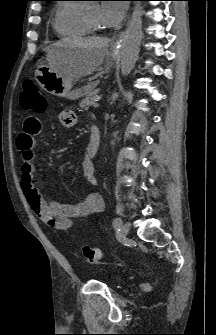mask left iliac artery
<instances>
[{"label":"left iliac artery","mask_w":216,"mask_h":335,"mask_svg":"<svg viewBox=\"0 0 216 335\" xmlns=\"http://www.w3.org/2000/svg\"><path fill=\"white\" fill-rule=\"evenodd\" d=\"M122 225V220L120 218H116L114 221H113V226L114 228H120Z\"/></svg>","instance_id":"44dca946"}]
</instances>
